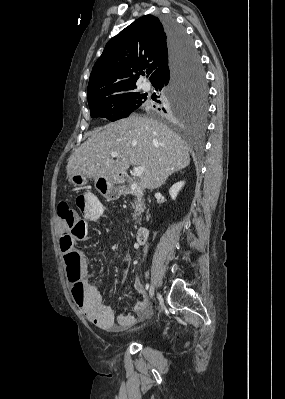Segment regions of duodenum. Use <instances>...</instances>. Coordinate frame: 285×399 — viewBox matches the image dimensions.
I'll list each match as a JSON object with an SVG mask.
<instances>
[{
    "mask_svg": "<svg viewBox=\"0 0 285 399\" xmlns=\"http://www.w3.org/2000/svg\"><path fill=\"white\" fill-rule=\"evenodd\" d=\"M124 187L127 194L131 195L141 194V190L139 189V187L131 182H125ZM149 234H150V228L148 226L146 225L140 226L136 232V241L138 243L146 242L149 237Z\"/></svg>",
    "mask_w": 285,
    "mask_h": 399,
    "instance_id": "1",
    "label": "duodenum"
}]
</instances>
